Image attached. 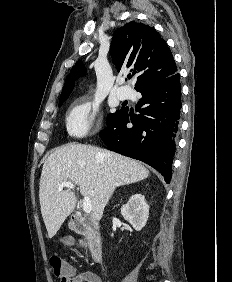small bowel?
I'll list each match as a JSON object with an SVG mask.
<instances>
[{"label":"small bowel","instance_id":"1","mask_svg":"<svg viewBox=\"0 0 232 282\" xmlns=\"http://www.w3.org/2000/svg\"><path fill=\"white\" fill-rule=\"evenodd\" d=\"M69 282H102L101 278L92 271L77 272L71 267V276Z\"/></svg>","mask_w":232,"mask_h":282}]
</instances>
